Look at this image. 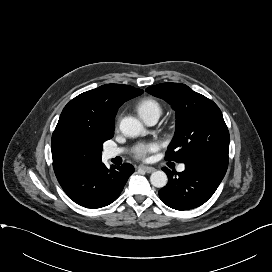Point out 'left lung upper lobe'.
Returning <instances> with one entry per match:
<instances>
[{
  "mask_svg": "<svg viewBox=\"0 0 272 272\" xmlns=\"http://www.w3.org/2000/svg\"><path fill=\"white\" fill-rule=\"evenodd\" d=\"M146 91L176 111V131L165 158L189 163L201 158H228L229 132L221 110L210 99L181 83H162Z\"/></svg>",
  "mask_w": 272,
  "mask_h": 272,
  "instance_id": "1",
  "label": "left lung upper lobe"
}]
</instances>
